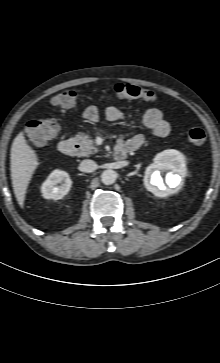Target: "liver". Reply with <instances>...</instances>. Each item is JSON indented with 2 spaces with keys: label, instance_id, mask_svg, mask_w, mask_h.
<instances>
[{
  "label": "liver",
  "instance_id": "obj_1",
  "mask_svg": "<svg viewBox=\"0 0 220 363\" xmlns=\"http://www.w3.org/2000/svg\"><path fill=\"white\" fill-rule=\"evenodd\" d=\"M10 156L13 190L18 204L23 208L27 188L39 159L35 150L27 144L23 132L13 140Z\"/></svg>",
  "mask_w": 220,
  "mask_h": 363
}]
</instances>
